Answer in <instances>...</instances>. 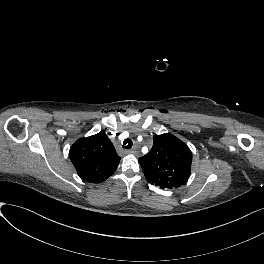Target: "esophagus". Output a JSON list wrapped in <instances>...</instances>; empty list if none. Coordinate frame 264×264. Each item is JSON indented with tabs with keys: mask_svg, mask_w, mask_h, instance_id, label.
Returning <instances> with one entry per match:
<instances>
[{
	"mask_svg": "<svg viewBox=\"0 0 264 264\" xmlns=\"http://www.w3.org/2000/svg\"><path fill=\"white\" fill-rule=\"evenodd\" d=\"M136 152H137L136 149L126 150V153H128V154H135Z\"/></svg>",
	"mask_w": 264,
	"mask_h": 264,
	"instance_id": "1",
	"label": "esophagus"
}]
</instances>
